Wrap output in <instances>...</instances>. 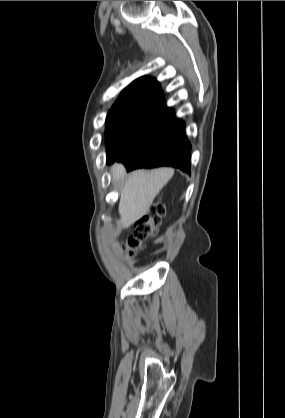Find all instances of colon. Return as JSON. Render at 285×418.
<instances>
[{"label":"colon","instance_id":"1","mask_svg":"<svg viewBox=\"0 0 285 418\" xmlns=\"http://www.w3.org/2000/svg\"><path fill=\"white\" fill-rule=\"evenodd\" d=\"M165 212L166 208L164 204H154L150 212L136 222L134 232L126 239L127 247L132 250H138L142 242L150 237L152 227L162 219Z\"/></svg>","mask_w":285,"mask_h":418}]
</instances>
